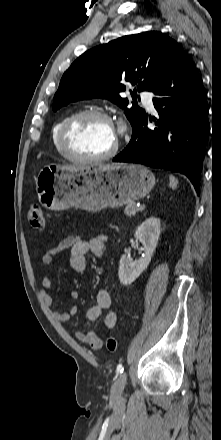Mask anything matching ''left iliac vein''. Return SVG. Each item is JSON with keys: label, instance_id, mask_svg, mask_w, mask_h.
<instances>
[{"label": "left iliac vein", "instance_id": "left-iliac-vein-1", "mask_svg": "<svg viewBox=\"0 0 221 440\" xmlns=\"http://www.w3.org/2000/svg\"><path fill=\"white\" fill-rule=\"evenodd\" d=\"M126 381H127V375L125 373L121 374L112 390V397L114 399H119L122 396V393L126 385Z\"/></svg>", "mask_w": 221, "mask_h": 440}]
</instances>
